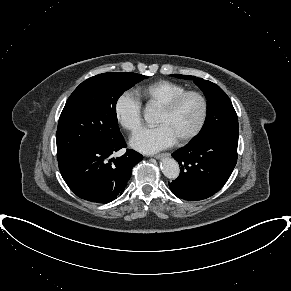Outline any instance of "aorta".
<instances>
[{
    "label": "aorta",
    "instance_id": "aorta-1",
    "mask_svg": "<svg viewBox=\"0 0 291 291\" xmlns=\"http://www.w3.org/2000/svg\"><path fill=\"white\" fill-rule=\"evenodd\" d=\"M155 111L152 107L147 106L144 111V118L147 122H153ZM161 169L165 177L176 179L179 176L180 169L176 160L173 158H164L161 163Z\"/></svg>",
    "mask_w": 291,
    "mask_h": 291
}]
</instances>
